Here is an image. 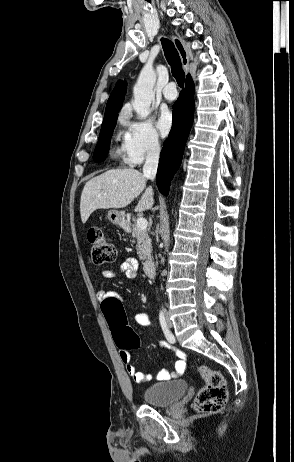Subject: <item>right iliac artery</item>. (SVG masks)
<instances>
[{"mask_svg":"<svg viewBox=\"0 0 294 462\" xmlns=\"http://www.w3.org/2000/svg\"><path fill=\"white\" fill-rule=\"evenodd\" d=\"M159 320H160V325L162 327V330L167 338V340L170 342V343H174L175 342V337L174 335L171 333V331L168 329L167 327V324H166V321H165V317H164V314L163 312H160L159 314Z\"/></svg>","mask_w":294,"mask_h":462,"instance_id":"1","label":"right iliac artery"}]
</instances>
